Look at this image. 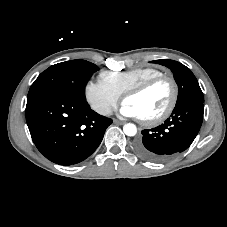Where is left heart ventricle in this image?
Wrapping results in <instances>:
<instances>
[{"label": "left heart ventricle", "mask_w": 227, "mask_h": 227, "mask_svg": "<svg viewBox=\"0 0 227 227\" xmlns=\"http://www.w3.org/2000/svg\"><path fill=\"white\" fill-rule=\"evenodd\" d=\"M171 95V85L164 80L140 95L126 98L124 102L134 107L140 118L147 119L160 114L169 104Z\"/></svg>", "instance_id": "1"}]
</instances>
